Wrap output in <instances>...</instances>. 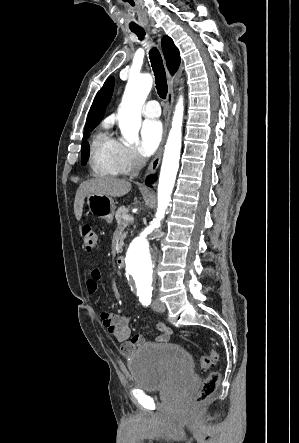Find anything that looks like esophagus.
I'll use <instances>...</instances> for the list:
<instances>
[{"instance_id":"34e87169","label":"esophagus","mask_w":299,"mask_h":443,"mask_svg":"<svg viewBox=\"0 0 299 443\" xmlns=\"http://www.w3.org/2000/svg\"><path fill=\"white\" fill-rule=\"evenodd\" d=\"M168 80H169V90H168V94H167L166 107H165V127H164L163 139H162V142L157 150L155 157L150 162V164L147 168V174H154L160 165L162 153H163V146H164V142L166 139L168 127L170 124V117H171L173 101H174V92H173L172 77L169 74H168Z\"/></svg>"}]
</instances>
